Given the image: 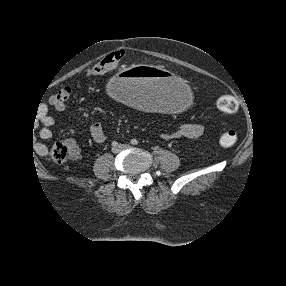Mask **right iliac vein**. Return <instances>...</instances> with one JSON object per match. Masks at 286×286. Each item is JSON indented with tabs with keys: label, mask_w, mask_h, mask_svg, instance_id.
I'll return each instance as SVG.
<instances>
[{
	"label": "right iliac vein",
	"mask_w": 286,
	"mask_h": 286,
	"mask_svg": "<svg viewBox=\"0 0 286 286\" xmlns=\"http://www.w3.org/2000/svg\"><path fill=\"white\" fill-rule=\"evenodd\" d=\"M120 149L118 147H113L112 152L113 153H119Z\"/></svg>",
	"instance_id": "right-iliac-vein-1"
}]
</instances>
